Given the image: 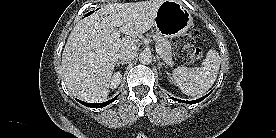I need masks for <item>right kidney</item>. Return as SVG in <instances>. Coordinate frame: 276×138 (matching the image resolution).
Returning <instances> with one entry per match:
<instances>
[{"mask_svg": "<svg viewBox=\"0 0 276 138\" xmlns=\"http://www.w3.org/2000/svg\"><path fill=\"white\" fill-rule=\"evenodd\" d=\"M121 80H122V74L120 72L115 73L111 78L110 87L112 89H115L116 87H118Z\"/></svg>", "mask_w": 276, "mask_h": 138, "instance_id": "1", "label": "right kidney"}]
</instances>
